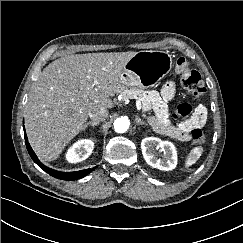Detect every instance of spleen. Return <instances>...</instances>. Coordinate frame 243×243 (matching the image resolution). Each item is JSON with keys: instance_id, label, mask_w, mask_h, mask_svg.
Instances as JSON below:
<instances>
[{"instance_id": "1", "label": "spleen", "mask_w": 243, "mask_h": 243, "mask_svg": "<svg viewBox=\"0 0 243 243\" xmlns=\"http://www.w3.org/2000/svg\"><path fill=\"white\" fill-rule=\"evenodd\" d=\"M202 153H203V147L199 146V147L193 148L187 156L185 166L189 167V166L193 165L194 163H196V161L200 158Z\"/></svg>"}]
</instances>
